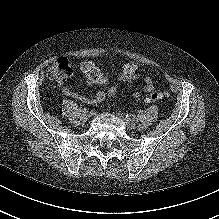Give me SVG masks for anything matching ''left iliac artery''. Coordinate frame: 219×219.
Masks as SVG:
<instances>
[{"instance_id": "left-iliac-artery-1", "label": "left iliac artery", "mask_w": 219, "mask_h": 219, "mask_svg": "<svg viewBox=\"0 0 219 219\" xmlns=\"http://www.w3.org/2000/svg\"><path fill=\"white\" fill-rule=\"evenodd\" d=\"M126 118L132 119L133 121L136 119V117L133 116V115H131V114H127V115H126Z\"/></svg>"}]
</instances>
